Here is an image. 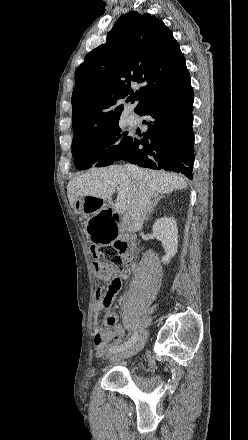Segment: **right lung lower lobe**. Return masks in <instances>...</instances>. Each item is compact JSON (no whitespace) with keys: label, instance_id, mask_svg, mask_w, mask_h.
Instances as JSON below:
<instances>
[{"label":"right lung lower lobe","instance_id":"right-lung-lower-lobe-1","mask_svg":"<svg viewBox=\"0 0 248 440\" xmlns=\"http://www.w3.org/2000/svg\"><path fill=\"white\" fill-rule=\"evenodd\" d=\"M193 89L190 78L173 90L145 101L136 111L148 129L131 137L120 160L140 167L183 173L192 179L194 164Z\"/></svg>","mask_w":248,"mask_h":440}]
</instances>
